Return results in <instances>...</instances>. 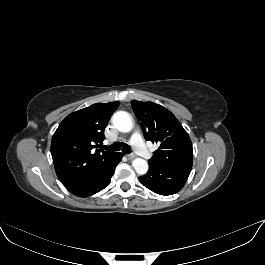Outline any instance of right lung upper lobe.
Wrapping results in <instances>:
<instances>
[{"mask_svg": "<svg viewBox=\"0 0 265 265\" xmlns=\"http://www.w3.org/2000/svg\"><path fill=\"white\" fill-rule=\"evenodd\" d=\"M119 102L96 103L69 114L55 131L51 154L64 186L78 180L116 153L94 149L104 140V129Z\"/></svg>", "mask_w": 265, "mask_h": 265, "instance_id": "cb5924a9", "label": "right lung upper lobe"}]
</instances>
